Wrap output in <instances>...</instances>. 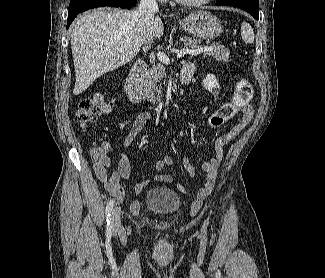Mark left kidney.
Instances as JSON below:
<instances>
[{
    "mask_svg": "<svg viewBox=\"0 0 325 278\" xmlns=\"http://www.w3.org/2000/svg\"><path fill=\"white\" fill-rule=\"evenodd\" d=\"M203 86L212 94H217L219 91V83L213 74H208L203 80Z\"/></svg>",
    "mask_w": 325,
    "mask_h": 278,
    "instance_id": "left-kidney-1",
    "label": "left kidney"
}]
</instances>
